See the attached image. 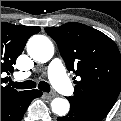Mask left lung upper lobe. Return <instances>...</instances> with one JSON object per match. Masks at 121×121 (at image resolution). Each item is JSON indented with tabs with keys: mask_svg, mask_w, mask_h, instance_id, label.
<instances>
[{
	"mask_svg": "<svg viewBox=\"0 0 121 121\" xmlns=\"http://www.w3.org/2000/svg\"><path fill=\"white\" fill-rule=\"evenodd\" d=\"M45 30L58 44L67 69L80 77L74 81V96L68 100L105 117L121 90V55L116 44L102 32L81 23Z\"/></svg>",
	"mask_w": 121,
	"mask_h": 121,
	"instance_id": "1",
	"label": "left lung upper lobe"
}]
</instances>
